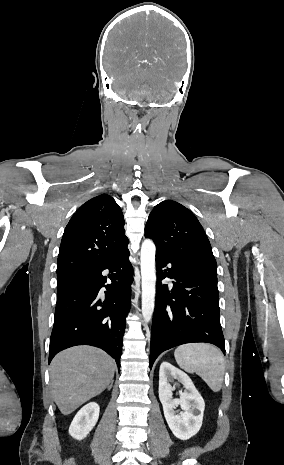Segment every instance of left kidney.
I'll use <instances>...</instances> for the list:
<instances>
[{
    "instance_id": "left-kidney-1",
    "label": "left kidney",
    "mask_w": 284,
    "mask_h": 465,
    "mask_svg": "<svg viewBox=\"0 0 284 465\" xmlns=\"http://www.w3.org/2000/svg\"><path fill=\"white\" fill-rule=\"evenodd\" d=\"M174 379L182 383L185 389L178 401L172 397V391H174L175 387H171L170 383H173ZM159 399L163 405L168 427H170L177 439L187 441V439L197 435L202 427L205 403L190 377L180 369H176V367L167 363V361L160 365ZM176 405H181L183 409L181 417L176 415L178 411H174Z\"/></svg>"
}]
</instances>
